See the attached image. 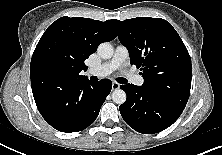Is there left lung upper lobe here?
Segmentation results:
<instances>
[{
	"mask_svg": "<svg viewBox=\"0 0 222 155\" xmlns=\"http://www.w3.org/2000/svg\"><path fill=\"white\" fill-rule=\"evenodd\" d=\"M131 64L140 68L142 87L187 103L191 88V58L173 26L161 18L112 20Z\"/></svg>",
	"mask_w": 222,
	"mask_h": 155,
	"instance_id": "5c2ea615",
	"label": "left lung upper lobe"
}]
</instances>
